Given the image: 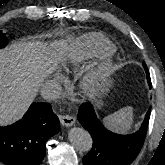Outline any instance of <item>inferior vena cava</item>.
<instances>
[{
	"mask_svg": "<svg viewBox=\"0 0 165 165\" xmlns=\"http://www.w3.org/2000/svg\"><path fill=\"white\" fill-rule=\"evenodd\" d=\"M40 94L43 99L53 101L61 94V87L57 82L47 81L41 85Z\"/></svg>",
	"mask_w": 165,
	"mask_h": 165,
	"instance_id": "1",
	"label": "inferior vena cava"
}]
</instances>
